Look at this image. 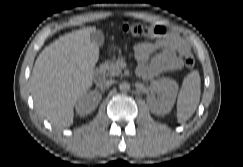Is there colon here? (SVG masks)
Wrapping results in <instances>:
<instances>
[{"label":"colon","mask_w":243,"mask_h":167,"mask_svg":"<svg viewBox=\"0 0 243 167\" xmlns=\"http://www.w3.org/2000/svg\"><path fill=\"white\" fill-rule=\"evenodd\" d=\"M124 34L140 39H150L154 36H160L165 33L166 28L161 24L147 26L142 23L126 24L122 27ZM187 69H192L195 65V59L191 53H187L184 59Z\"/></svg>","instance_id":"obj_1"}]
</instances>
